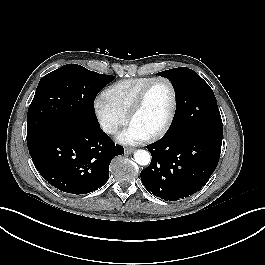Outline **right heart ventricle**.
Segmentation results:
<instances>
[{
  "instance_id": "right-heart-ventricle-1",
  "label": "right heart ventricle",
  "mask_w": 265,
  "mask_h": 265,
  "mask_svg": "<svg viewBox=\"0 0 265 265\" xmlns=\"http://www.w3.org/2000/svg\"><path fill=\"white\" fill-rule=\"evenodd\" d=\"M152 78L136 77L115 82L104 91L103 98L120 113L128 116L137 95Z\"/></svg>"
}]
</instances>
